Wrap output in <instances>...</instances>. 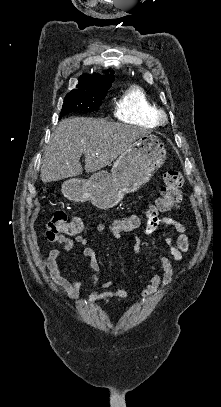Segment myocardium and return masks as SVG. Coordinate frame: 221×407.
Listing matches in <instances>:
<instances>
[{
  "instance_id": "1",
  "label": "myocardium",
  "mask_w": 221,
  "mask_h": 407,
  "mask_svg": "<svg viewBox=\"0 0 221 407\" xmlns=\"http://www.w3.org/2000/svg\"><path fill=\"white\" fill-rule=\"evenodd\" d=\"M156 117H157L158 122H160L162 124L166 123L168 120V116H167L166 112L162 109L157 111Z\"/></svg>"
}]
</instances>
